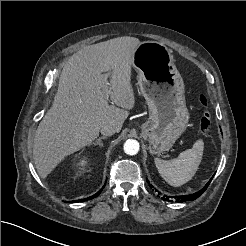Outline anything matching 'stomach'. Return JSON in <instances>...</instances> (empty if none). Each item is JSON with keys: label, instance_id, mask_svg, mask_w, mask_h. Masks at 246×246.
Listing matches in <instances>:
<instances>
[{"label": "stomach", "instance_id": "0dacf381", "mask_svg": "<svg viewBox=\"0 0 246 246\" xmlns=\"http://www.w3.org/2000/svg\"><path fill=\"white\" fill-rule=\"evenodd\" d=\"M140 91L146 99L149 118L141 126L152 154L169 150L189 121L183 79L174 65L171 50L156 41H144L133 55Z\"/></svg>", "mask_w": 246, "mask_h": 246}]
</instances>
